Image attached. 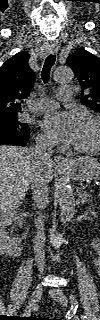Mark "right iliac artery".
Returning <instances> with one entry per match:
<instances>
[{"label":"right iliac artery","instance_id":"1","mask_svg":"<svg viewBox=\"0 0 100 320\" xmlns=\"http://www.w3.org/2000/svg\"><path fill=\"white\" fill-rule=\"evenodd\" d=\"M27 314V311H25V313L23 315H26Z\"/></svg>","mask_w":100,"mask_h":320}]
</instances>
